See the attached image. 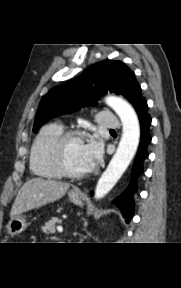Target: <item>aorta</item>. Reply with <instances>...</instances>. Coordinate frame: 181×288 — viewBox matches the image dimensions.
Instances as JSON below:
<instances>
[{"label": "aorta", "mask_w": 181, "mask_h": 288, "mask_svg": "<svg viewBox=\"0 0 181 288\" xmlns=\"http://www.w3.org/2000/svg\"><path fill=\"white\" fill-rule=\"evenodd\" d=\"M106 103L119 116L122 122V137L116 153L101 175L95 189V198H103L121 178L133 159L140 140L138 117L131 105L118 97H107Z\"/></svg>", "instance_id": "obj_1"}]
</instances>
